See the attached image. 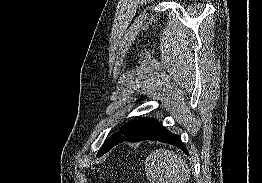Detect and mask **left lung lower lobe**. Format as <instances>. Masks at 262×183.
<instances>
[{"mask_svg":"<svg viewBox=\"0 0 262 183\" xmlns=\"http://www.w3.org/2000/svg\"><path fill=\"white\" fill-rule=\"evenodd\" d=\"M143 140H156L164 143L174 145L181 149L185 154H188V151L181 141L178 135L172 134L166 128L162 127L156 119H149L144 126L139 129L136 133L126 138H121L120 140L113 143L107 150V152L123 141L130 142H139Z\"/></svg>","mask_w":262,"mask_h":183,"instance_id":"1","label":"left lung lower lobe"}]
</instances>
